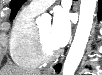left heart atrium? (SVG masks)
Segmentation results:
<instances>
[{
    "label": "left heart atrium",
    "mask_w": 102,
    "mask_h": 75,
    "mask_svg": "<svg viewBox=\"0 0 102 75\" xmlns=\"http://www.w3.org/2000/svg\"><path fill=\"white\" fill-rule=\"evenodd\" d=\"M71 34V24L68 13L57 8L51 25L50 38L55 47H63L69 40Z\"/></svg>",
    "instance_id": "obj_1"
}]
</instances>
